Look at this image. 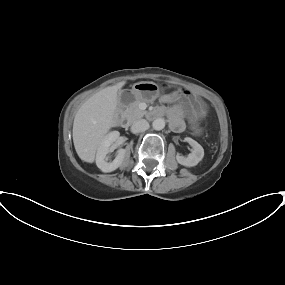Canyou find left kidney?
<instances>
[{"label": "left kidney", "instance_id": "obj_1", "mask_svg": "<svg viewBox=\"0 0 285 285\" xmlns=\"http://www.w3.org/2000/svg\"><path fill=\"white\" fill-rule=\"evenodd\" d=\"M185 141L192 146L193 151L188 157L177 155V162L186 167L196 166L204 157V149L198 142L190 137H186Z\"/></svg>", "mask_w": 285, "mask_h": 285}]
</instances>
